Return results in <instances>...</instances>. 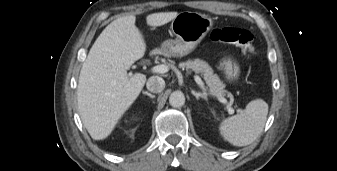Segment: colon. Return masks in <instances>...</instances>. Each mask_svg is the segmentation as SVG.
<instances>
[{
    "instance_id": "obj_1",
    "label": "colon",
    "mask_w": 337,
    "mask_h": 171,
    "mask_svg": "<svg viewBox=\"0 0 337 171\" xmlns=\"http://www.w3.org/2000/svg\"><path fill=\"white\" fill-rule=\"evenodd\" d=\"M210 38L214 42L235 45L249 57L254 55L253 35L249 30L238 27H220L211 32Z\"/></svg>"
}]
</instances>
